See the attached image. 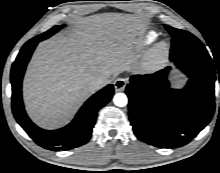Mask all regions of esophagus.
Here are the masks:
<instances>
[{"instance_id":"1","label":"esophagus","mask_w":220,"mask_h":173,"mask_svg":"<svg viewBox=\"0 0 220 173\" xmlns=\"http://www.w3.org/2000/svg\"><path fill=\"white\" fill-rule=\"evenodd\" d=\"M127 84V79L125 78H118L114 82V88L116 92H122L125 90Z\"/></svg>"}]
</instances>
